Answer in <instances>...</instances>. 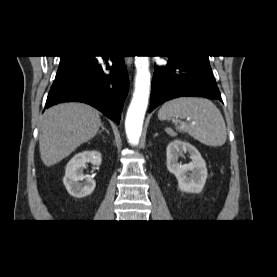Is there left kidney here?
<instances>
[{
  "mask_svg": "<svg viewBox=\"0 0 277 277\" xmlns=\"http://www.w3.org/2000/svg\"><path fill=\"white\" fill-rule=\"evenodd\" d=\"M182 152H188L191 162L181 164L178 158ZM167 169L178 180V187L186 193H200L207 179V168L198 150L190 143L174 140L167 146Z\"/></svg>",
  "mask_w": 277,
  "mask_h": 277,
  "instance_id": "1",
  "label": "left kidney"
}]
</instances>
